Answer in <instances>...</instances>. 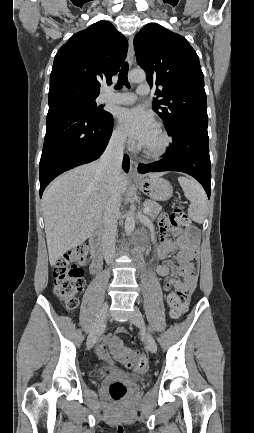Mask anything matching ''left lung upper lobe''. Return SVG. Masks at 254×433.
<instances>
[{
    "mask_svg": "<svg viewBox=\"0 0 254 433\" xmlns=\"http://www.w3.org/2000/svg\"><path fill=\"white\" fill-rule=\"evenodd\" d=\"M138 64L150 86H157L153 110L168 133L187 123L208 125L204 76L199 58L179 34L149 23L134 38ZM160 86V89H158Z\"/></svg>",
    "mask_w": 254,
    "mask_h": 433,
    "instance_id": "5c2ea615",
    "label": "left lung upper lobe"
}]
</instances>
